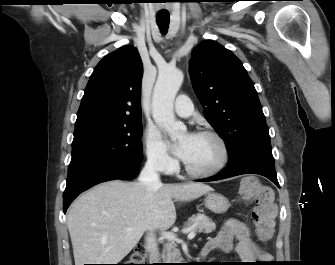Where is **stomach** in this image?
Returning a JSON list of instances; mask_svg holds the SVG:
<instances>
[{
    "instance_id": "0dacf381",
    "label": "stomach",
    "mask_w": 335,
    "mask_h": 265,
    "mask_svg": "<svg viewBox=\"0 0 335 265\" xmlns=\"http://www.w3.org/2000/svg\"><path fill=\"white\" fill-rule=\"evenodd\" d=\"M205 206L214 213L222 214L228 210L230 204L224 195L208 192L205 197Z\"/></svg>"
}]
</instances>
